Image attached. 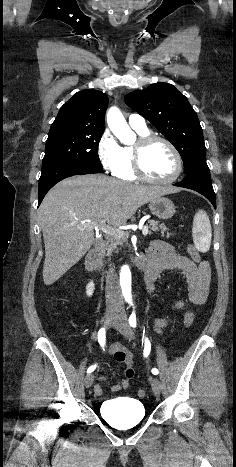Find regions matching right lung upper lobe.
<instances>
[{"mask_svg":"<svg viewBox=\"0 0 236 467\" xmlns=\"http://www.w3.org/2000/svg\"><path fill=\"white\" fill-rule=\"evenodd\" d=\"M108 97L98 90L77 92L59 110L53 127L104 130Z\"/></svg>","mask_w":236,"mask_h":467,"instance_id":"cb5924a9","label":"right lung upper lobe"}]
</instances>
